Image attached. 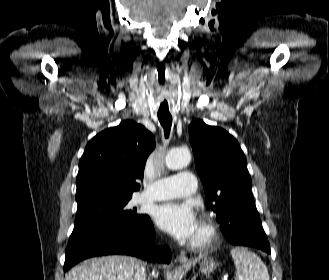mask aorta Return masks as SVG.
<instances>
[{"label": "aorta", "instance_id": "aorta-1", "mask_svg": "<svg viewBox=\"0 0 329 280\" xmlns=\"http://www.w3.org/2000/svg\"><path fill=\"white\" fill-rule=\"evenodd\" d=\"M191 161V154L188 149H172L165 158L168 169L178 170L185 168Z\"/></svg>", "mask_w": 329, "mask_h": 280}]
</instances>
